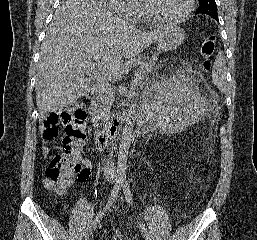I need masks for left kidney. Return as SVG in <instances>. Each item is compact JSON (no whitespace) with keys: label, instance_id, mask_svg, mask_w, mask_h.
Wrapping results in <instances>:
<instances>
[{"label":"left kidney","instance_id":"obj_1","mask_svg":"<svg viewBox=\"0 0 257 240\" xmlns=\"http://www.w3.org/2000/svg\"><path fill=\"white\" fill-rule=\"evenodd\" d=\"M151 119L164 132H181L203 114V98L184 76L155 85L149 98Z\"/></svg>","mask_w":257,"mask_h":240}]
</instances>
